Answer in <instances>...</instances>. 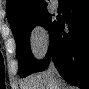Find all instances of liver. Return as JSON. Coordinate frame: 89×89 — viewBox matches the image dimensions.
I'll return each instance as SVG.
<instances>
[{
  "label": "liver",
  "mask_w": 89,
  "mask_h": 89,
  "mask_svg": "<svg viewBox=\"0 0 89 89\" xmlns=\"http://www.w3.org/2000/svg\"><path fill=\"white\" fill-rule=\"evenodd\" d=\"M55 81H58L57 75L47 70L25 79L21 89H56L54 88Z\"/></svg>",
  "instance_id": "obj_1"
}]
</instances>
